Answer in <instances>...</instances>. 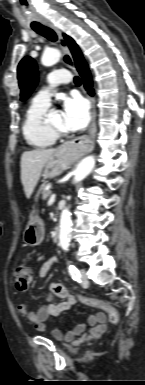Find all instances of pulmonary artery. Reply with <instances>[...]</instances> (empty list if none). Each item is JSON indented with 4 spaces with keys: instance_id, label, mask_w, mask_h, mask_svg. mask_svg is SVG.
I'll list each match as a JSON object with an SVG mask.
<instances>
[{
    "instance_id": "1",
    "label": "pulmonary artery",
    "mask_w": 145,
    "mask_h": 385,
    "mask_svg": "<svg viewBox=\"0 0 145 385\" xmlns=\"http://www.w3.org/2000/svg\"><path fill=\"white\" fill-rule=\"evenodd\" d=\"M70 80H71V76L65 70L59 69L51 72L48 75V81L50 82L51 86L45 87L44 89L39 91L34 97L33 101L38 104L49 106L50 98L53 92V86L58 84L68 83L70 82Z\"/></svg>"
}]
</instances>
